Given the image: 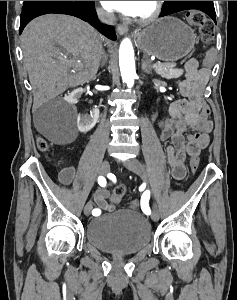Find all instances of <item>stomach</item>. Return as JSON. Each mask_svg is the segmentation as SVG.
Returning <instances> with one entry per match:
<instances>
[{
  "instance_id": "stomach-1",
  "label": "stomach",
  "mask_w": 237,
  "mask_h": 300,
  "mask_svg": "<svg viewBox=\"0 0 237 300\" xmlns=\"http://www.w3.org/2000/svg\"><path fill=\"white\" fill-rule=\"evenodd\" d=\"M196 35L188 25L176 17H163L151 21L140 33H136V45L146 55L160 61H178L192 51Z\"/></svg>"
}]
</instances>
